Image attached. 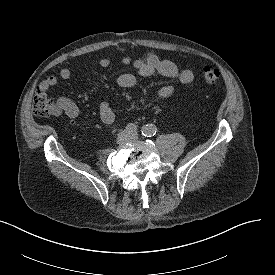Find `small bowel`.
<instances>
[{
    "instance_id": "c3829d8e",
    "label": "small bowel",
    "mask_w": 275,
    "mask_h": 275,
    "mask_svg": "<svg viewBox=\"0 0 275 275\" xmlns=\"http://www.w3.org/2000/svg\"><path fill=\"white\" fill-rule=\"evenodd\" d=\"M123 65L132 64L133 72L120 74L116 82L119 86L124 88H131L136 85L139 78L150 77L154 74H159L163 77L176 79L181 84H190L194 79L192 71L187 69H180L175 63L163 60L156 54H148L144 58L131 60L130 57L124 56L121 59ZM111 61L108 57H102L99 64L103 68H107ZM72 75L69 68H62L58 75H51L44 80L40 87L44 90L56 85L59 80H68ZM174 92V87L171 84L162 85L157 92L160 99L170 97ZM54 116H65L71 120H75L79 116L78 106L71 100L61 97L57 100L54 111ZM99 115L101 121L106 125H112L115 122V114L106 100H102L99 104Z\"/></svg>"
}]
</instances>
